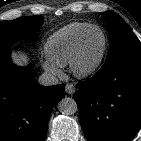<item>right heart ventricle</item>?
Returning <instances> with one entry per match:
<instances>
[{
	"label": "right heart ventricle",
	"mask_w": 141,
	"mask_h": 141,
	"mask_svg": "<svg viewBox=\"0 0 141 141\" xmlns=\"http://www.w3.org/2000/svg\"><path fill=\"white\" fill-rule=\"evenodd\" d=\"M90 26L89 23L74 22L53 33L44 47L47 58L58 66L69 65L80 36Z\"/></svg>",
	"instance_id": "right-heart-ventricle-1"
}]
</instances>
